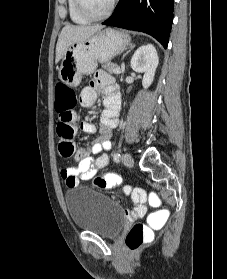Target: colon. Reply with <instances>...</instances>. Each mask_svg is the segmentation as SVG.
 Masks as SVG:
<instances>
[{
    "label": "colon",
    "mask_w": 227,
    "mask_h": 279,
    "mask_svg": "<svg viewBox=\"0 0 227 279\" xmlns=\"http://www.w3.org/2000/svg\"><path fill=\"white\" fill-rule=\"evenodd\" d=\"M77 99L75 91L72 88L64 85L57 87V99L55 102V110L60 120L59 132L63 139L70 140L74 133V128L71 125L73 119V109L76 106ZM73 145L65 144L61 150L60 155L64 158H69L73 154ZM122 183V177L118 173H105L94 178V185L99 189H107L119 186ZM69 184L72 187L77 186V180L71 178ZM139 198L145 197V191L137 190L134 192ZM154 195V194H153ZM154 198L160 199L154 195ZM151 236V229L141 223L133 225L127 238L126 244L132 251L137 250L149 237Z\"/></svg>",
    "instance_id": "1"
}]
</instances>
